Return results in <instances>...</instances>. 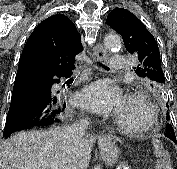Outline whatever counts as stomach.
<instances>
[{"label":"stomach","instance_id":"0dacf381","mask_svg":"<svg viewBox=\"0 0 177 169\" xmlns=\"http://www.w3.org/2000/svg\"><path fill=\"white\" fill-rule=\"evenodd\" d=\"M101 159L108 167L114 166L118 159L120 150L111 142H101L99 144Z\"/></svg>","mask_w":177,"mask_h":169}]
</instances>
